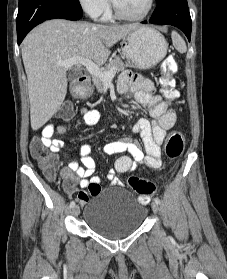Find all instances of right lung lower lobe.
Returning <instances> with one entry per match:
<instances>
[{"mask_svg": "<svg viewBox=\"0 0 227 279\" xmlns=\"http://www.w3.org/2000/svg\"><path fill=\"white\" fill-rule=\"evenodd\" d=\"M82 17L78 0H19L16 18L17 42L20 44L36 25L49 19L76 21Z\"/></svg>", "mask_w": 227, "mask_h": 279, "instance_id": "right-lung-lower-lobe-1", "label": "right lung lower lobe"}]
</instances>
